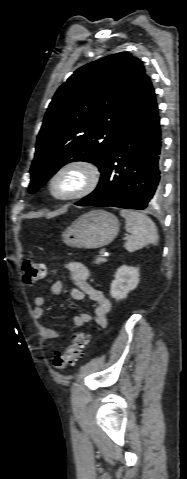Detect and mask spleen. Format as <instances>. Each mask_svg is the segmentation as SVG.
Instances as JSON below:
<instances>
[{
	"instance_id": "1",
	"label": "spleen",
	"mask_w": 187,
	"mask_h": 479,
	"mask_svg": "<svg viewBox=\"0 0 187 479\" xmlns=\"http://www.w3.org/2000/svg\"><path fill=\"white\" fill-rule=\"evenodd\" d=\"M120 215L126 220V231L131 233L125 243L128 252H135L148 244L158 245V234L154 222L145 214L123 209Z\"/></svg>"
}]
</instances>
